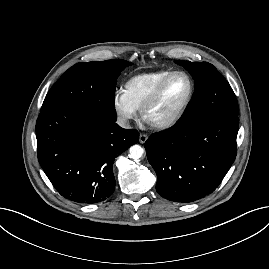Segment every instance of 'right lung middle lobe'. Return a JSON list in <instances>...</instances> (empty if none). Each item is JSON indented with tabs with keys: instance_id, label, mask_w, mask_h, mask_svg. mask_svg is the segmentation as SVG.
<instances>
[{
	"instance_id": "obj_1",
	"label": "right lung middle lobe",
	"mask_w": 269,
	"mask_h": 269,
	"mask_svg": "<svg viewBox=\"0 0 269 269\" xmlns=\"http://www.w3.org/2000/svg\"><path fill=\"white\" fill-rule=\"evenodd\" d=\"M130 65L128 61L112 59L72 66L49 90L40 112L69 107L115 121V85L120 72Z\"/></svg>"
}]
</instances>
